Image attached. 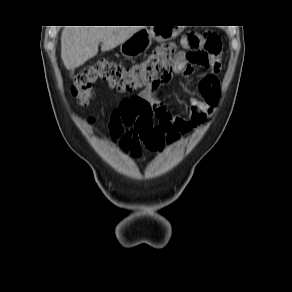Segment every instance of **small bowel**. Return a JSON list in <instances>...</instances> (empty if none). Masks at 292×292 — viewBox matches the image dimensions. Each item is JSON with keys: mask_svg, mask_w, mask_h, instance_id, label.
Listing matches in <instances>:
<instances>
[{"mask_svg": "<svg viewBox=\"0 0 292 292\" xmlns=\"http://www.w3.org/2000/svg\"><path fill=\"white\" fill-rule=\"evenodd\" d=\"M195 64L203 70L198 84L199 97L190 100L186 115H177L168 105L161 103V108L155 119L157 121L155 126L163 135L161 150L175 146L181 138L195 133L204 126L210 120L214 108L219 103L221 94L217 74L221 67V44L211 50L204 51L202 58L197 60ZM167 81L162 82L161 86ZM119 145L121 150L132 160L138 161L141 158L144 144L141 133L136 127L129 126L123 132Z\"/></svg>", "mask_w": 292, "mask_h": 292, "instance_id": "c3829d8e", "label": "small bowel"}]
</instances>
